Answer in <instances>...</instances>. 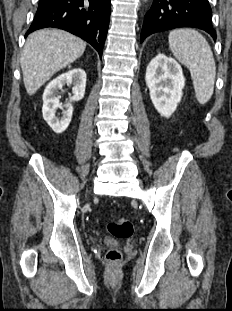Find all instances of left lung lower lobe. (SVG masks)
I'll return each instance as SVG.
<instances>
[{
  "mask_svg": "<svg viewBox=\"0 0 232 311\" xmlns=\"http://www.w3.org/2000/svg\"><path fill=\"white\" fill-rule=\"evenodd\" d=\"M208 0H154L145 15L140 42L156 32L179 27L199 28L216 39Z\"/></svg>",
  "mask_w": 232,
  "mask_h": 311,
  "instance_id": "obj_1",
  "label": "left lung lower lobe"
}]
</instances>
